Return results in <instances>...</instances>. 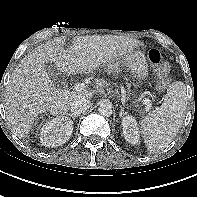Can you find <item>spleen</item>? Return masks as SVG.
<instances>
[{"instance_id":"1","label":"spleen","mask_w":197,"mask_h":197,"mask_svg":"<svg viewBox=\"0 0 197 197\" xmlns=\"http://www.w3.org/2000/svg\"><path fill=\"white\" fill-rule=\"evenodd\" d=\"M187 107L186 86L173 82L167 89L164 102L141 121V133L147 150L159 152L176 136L185 117Z\"/></svg>"}]
</instances>
